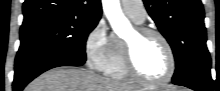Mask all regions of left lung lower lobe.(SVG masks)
Returning <instances> with one entry per match:
<instances>
[{"instance_id": "obj_1", "label": "left lung lower lobe", "mask_w": 220, "mask_h": 91, "mask_svg": "<svg viewBox=\"0 0 220 91\" xmlns=\"http://www.w3.org/2000/svg\"><path fill=\"white\" fill-rule=\"evenodd\" d=\"M171 83L185 86L195 91H213L214 85L210 74V66H201L185 75L173 78Z\"/></svg>"}]
</instances>
